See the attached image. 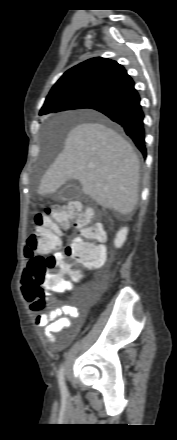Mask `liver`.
<instances>
[{
  "instance_id": "1",
  "label": "liver",
  "mask_w": 177,
  "mask_h": 440,
  "mask_svg": "<svg viewBox=\"0 0 177 440\" xmlns=\"http://www.w3.org/2000/svg\"><path fill=\"white\" fill-rule=\"evenodd\" d=\"M139 159L121 135L101 123H82L43 175L38 193H55L69 179L104 208L126 215L138 202Z\"/></svg>"
}]
</instances>
